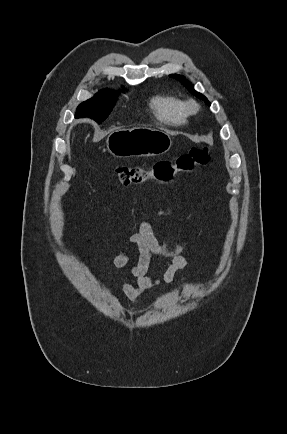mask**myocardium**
<instances>
[{
    "mask_svg": "<svg viewBox=\"0 0 287 434\" xmlns=\"http://www.w3.org/2000/svg\"><path fill=\"white\" fill-rule=\"evenodd\" d=\"M185 108L188 112L194 113L198 109V105L194 101H189L186 103Z\"/></svg>",
    "mask_w": 287,
    "mask_h": 434,
    "instance_id": "myocardium-1",
    "label": "myocardium"
}]
</instances>
